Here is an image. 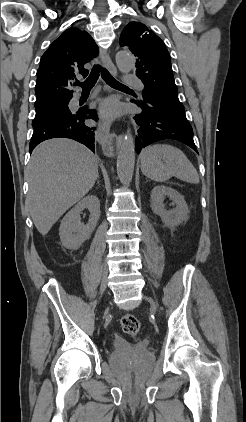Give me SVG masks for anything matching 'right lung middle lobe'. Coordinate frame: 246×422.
I'll use <instances>...</instances> for the list:
<instances>
[{"label":"right lung middle lobe","mask_w":246,"mask_h":422,"mask_svg":"<svg viewBox=\"0 0 246 422\" xmlns=\"http://www.w3.org/2000/svg\"><path fill=\"white\" fill-rule=\"evenodd\" d=\"M69 101L53 104L41 109H36V115L33 119L32 125H35L39 122L71 115V111L68 108Z\"/></svg>","instance_id":"dd1d6c3e"}]
</instances>
